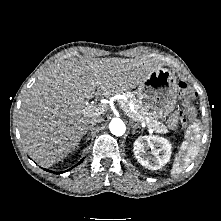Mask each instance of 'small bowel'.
<instances>
[{"instance_id":"1","label":"small bowel","mask_w":221,"mask_h":221,"mask_svg":"<svg viewBox=\"0 0 221 221\" xmlns=\"http://www.w3.org/2000/svg\"><path fill=\"white\" fill-rule=\"evenodd\" d=\"M185 105H188V101H185ZM177 118L178 115L176 113L170 117L168 124L171 128H174L176 126Z\"/></svg>"}]
</instances>
